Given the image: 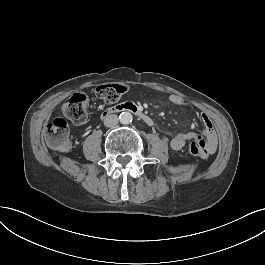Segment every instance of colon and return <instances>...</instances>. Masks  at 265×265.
Listing matches in <instances>:
<instances>
[{
	"instance_id": "obj_1",
	"label": "colon",
	"mask_w": 265,
	"mask_h": 265,
	"mask_svg": "<svg viewBox=\"0 0 265 265\" xmlns=\"http://www.w3.org/2000/svg\"><path fill=\"white\" fill-rule=\"evenodd\" d=\"M127 92L125 84L103 85L97 89L98 97L107 103L118 101ZM88 99L85 95L76 93L62 106L63 116H57L44 128L42 139L46 147L57 152H64L71 147L67 119L76 124L88 121ZM200 148L199 142L192 139L188 142L187 150L194 156Z\"/></svg>"
}]
</instances>
